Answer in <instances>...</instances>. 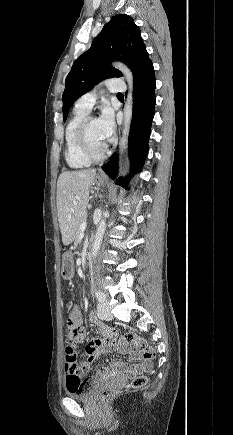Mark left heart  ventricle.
I'll return each mask as SVG.
<instances>
[{
  "instance_id": "1",
  "label": "left heart ventricle",
  "mask_w": 233,
  "mask_h": 435,
  "mask_svg": "<svg viewBox=\"0 0 233 435\" xmlns=\"http://www.w3.org/2000/svg\"><path fill=\"white\" fill-rule=\"evenodd\" d=\"M88 140L92 150L97 153L102 152L108 144L107 140L103 137L97 119L93 120L89 125Z\"/></svg>"
}]
</instances>
